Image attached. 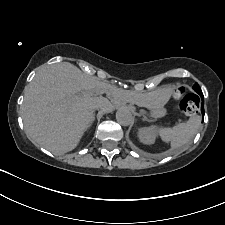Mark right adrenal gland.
<instances>
[{
  "label": "right adrenal gland",
  "instance_id": "1",
  "mask_svg": "<svg viewBox=\"0 0 225 225\" xmlns=\"http://www.w3.org/2000/svg\"><path fill=\"white\" fill-rule=\"evenodd\" d=\"M94 120H95V114H94V117H93V121H92V123L94 122ZM92 123H91V124H92ZM90 126H91V125H90Z\"/></svg>",
  "mask_w": 225,
  "mask_h": 225
}]
</instances>
